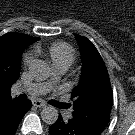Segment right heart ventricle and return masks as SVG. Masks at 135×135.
<instances>
[{
	"mask_svg": "<svg viewBox=\"0 0 135 135\" xmlns=\"http://www.w3.org/2000/svg\"><path fill=\"white\" fill-rule=\"evenodd\" d=\"M35 52H44L54 68L63 67L68 69L76 58L74 48L63 41L50 44L45 51L40 46H35Z\"/></svg>",
	"mask_w": 135,
	"mask_h": 135,
	"instance_id": "1",
	"label": "right heart ventricle"
}]
</instances>
